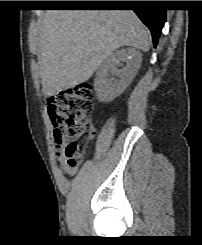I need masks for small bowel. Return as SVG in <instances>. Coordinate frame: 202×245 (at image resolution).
<instances>
[{
    "label": "small bowel",
    "mask_w": 202,
    "mask_h": 245,
    "mask_svg": "<svg viewBox=\"0 0 202 245\" xmlns=\"http://www.w3.org/2000/svg\"><path fill=\"white\" fill-rule=\"evenodd\" d=\"M47 103H48V109L50 112V116L54 117V107L56 105L55 100L52 97L48 98ZM62 147H63L62 141L55 142V146H54L55 155L59 159V161L63 164L62 166L63 172H65L68 176H73L76 173L77 169L76 167H71L66 164L65 157L62 152Z\"/></svg>",
    "instance_id": "1"
}]
</instances>
